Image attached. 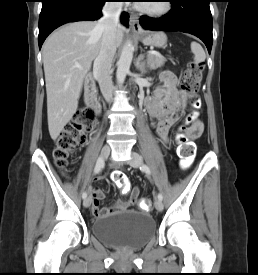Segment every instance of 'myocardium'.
<instances>
[{"label":"myocardium","instance_id":"myocardium-1","mask_svg":"<svg viewBox=\"0 0 258 275\" xmlns=\"http://www.w3.org/2000/svg\"><path fill=\"white\" fill-rule=\"evenodd\" d=\"M172 9V3L170 0H164L163 5L161 8L153 10L149 8H145L143 6H137V10L145 15L151 16V17H161L169 13Z\"/></svg>","mask_w":258,"mask_h":275}]
</instances>
